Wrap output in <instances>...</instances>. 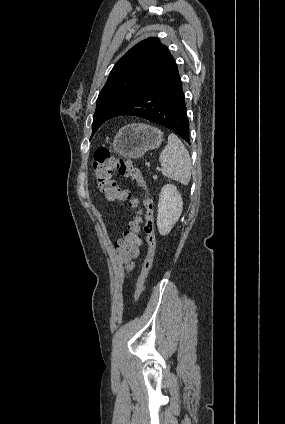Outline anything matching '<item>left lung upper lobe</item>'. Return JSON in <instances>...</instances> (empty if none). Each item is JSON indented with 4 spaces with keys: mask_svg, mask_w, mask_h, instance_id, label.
<instances>
[{
    "mask_svg": "<svg viewBox=\"0 0 285 424\" xmlns=\"http://www.w3.org/2000/svg\"><path fill=\"white\" fill-rule=\"evenodd\" d=\"M171 58L168 48L154 37L132 47L115 64L99 93L91 137L120 105L155 80Z\"/></svg>",
    "mask_w": 285,
    "mask_h": 424,
    "instance_id": "obj_1",
    "label": "left lung upper lobe"
}]
</instances>
